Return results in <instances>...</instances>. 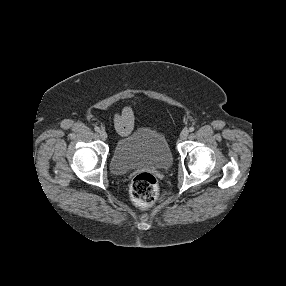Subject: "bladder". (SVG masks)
<instances>
[{
	"instance_id": "bladder-1",
	"label": "bladder",
	"mask_w": 286,
	"mask_h": 286,
	"mask_svg": "<svg viewBox=\"0 0 286 286\" xmlns=\"http://www.w3.org/2000/svg\"><path fill=\"white\" fill-rule=\"evenodd\" d=\"M172 163L173 155L163 133L146 126L121 137L111 157V169L118 175L138 167L165 170Z\"/></svg>"
}]
</instances>
